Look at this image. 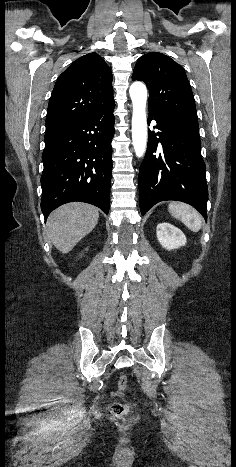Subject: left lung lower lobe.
Masks as SVG:
<instances>
[{
  "instance_id": "left-lung-lower-lobe-1",
  "label": "left lung lower lobe",
  "mask_w": 236,
  "mask_h": 467,
  "mask_svg": "<svg viewBox=\"0 0 236 467\" xmlns=\"http://www.w3.org/2000/svg\"><path fill=\"white\" fill-rule=\"evenodd\" d=\"M148 147L139 171L140 210L144 215L160 201L177 200L196 208L207 220L206 166L201 156L198 117L195 114L149 110Z\"/></svg>"
}]
</instances>
